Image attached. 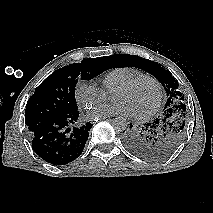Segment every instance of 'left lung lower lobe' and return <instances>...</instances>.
Wrapping results in <instances>:
<instances>
[{
	"label": "left lung lower lobe",
	"mask_w": 213,
	"mask_h": 213,
	"mask_svg": "<svg viewBox=\"0 0 213 213\" xmlns=\"http://www.w3.org/2000/svg\"><path fill=\"white\" fill-rule=\"evenodd\" d=\"M154 122V123H153ZM152 123H147L141 130L133 129L130 125V129L123 131V141L126 147L134 154L144 157L143 155L147 151L146 148V137L154 132L156 120Z\"/></svg>",
	"instance_id": "obj_1"
}]
</instances>
